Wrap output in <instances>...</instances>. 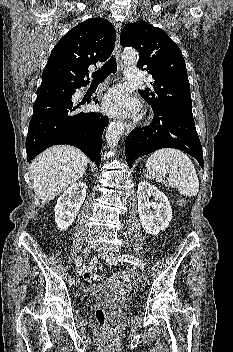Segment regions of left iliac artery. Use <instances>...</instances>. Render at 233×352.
<instances>
[{"instance_id":"44dca946","label":"left iliac artery","mask_w":233,"mask_h":352,"mask_svg":"<svg viewBox=\"0 0 233 352\" xmlns=\"http://www.w3.org/2000/svg\"><path fill=\"white\" fill-rule=\"evenodd\" d=\"M118 261H125V262H129L133 265H136L138 267H140L141 270H144V264L135 256L133 255H129V254H122V255H118L114 258H110L107 260L108 263L110 264H116Z\"/></svg>"}]
</instances>
